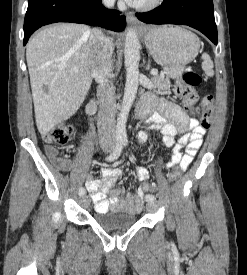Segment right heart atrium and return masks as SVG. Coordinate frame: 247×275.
<instances>
[{
	"instance_id": "1",
	"label": "right heart atrium",
	"mask_w": 247,
	"mask_h": 275,
	"mask_svg": "<svg viewBox=\"0 0 247 275\" xmlns=\"http://www.w3.org/2000/svg\"><path fill=\"white\" fill-rule=\"evenodd\" d=\"M106 7H112L115 4V0H102Z\"/></svg>"
}]
</instances>
